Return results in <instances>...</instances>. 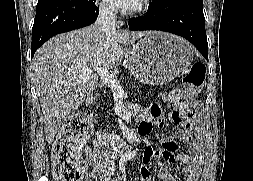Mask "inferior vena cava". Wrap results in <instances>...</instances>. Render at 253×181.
I'll use <instances>...</instances> for the list:
<instances>
[{
    "instance_id": "602c4592",
    "label": "inferior vena cava",
    "mask_w": 253,
    "mask_h": 181,
    "mask_svg": "<svg viewBox=\"0 0 253 181\" xmlns=\"http://www.w3.org/2000/svg\"><path fill=\"white\" fill-rule=\"evenodd\" d=\"M116 11V7L113 3L102 2L100 4L99 15L95 25L105 32L115 29Z\"/></svg>"
}]
</instances>
